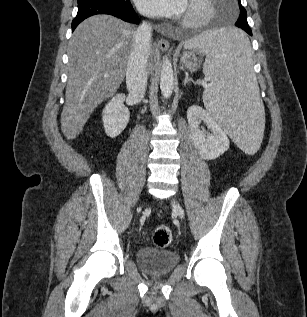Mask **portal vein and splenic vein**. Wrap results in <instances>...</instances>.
Masks as SVG:
<instances>
[{
	"mask_svg": "<svg viewBox=\"0 0 307 317\" xmlns=\"http://www.w3.org/2000/svg\"><path fill=\"white\" fill-rule=\"evenodd\" d=\"M202 85L205 89H208L209 88V85L206 83V82H202Z\"/></svg>",
	"mask_w": 307,
	"mask_h": 317,
	"instance_id": "portal-vein-and-splenic-vein-1",
	"label": "portal vein and splenic vein"
}]
</instances>
